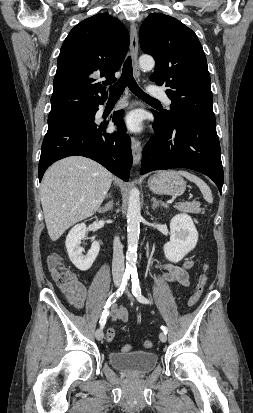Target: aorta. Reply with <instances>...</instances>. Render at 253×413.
Segmentation results:
<instances>
[{
	"label": "aorta",
	"instance_id": "1",
	"mask_svg": "<svg viewBox=\"0 0 253 413\" xmlns=\"http://www.w3.org/2000/svg\"><path fill=\"white\" fill-rule=\"evenodd\" d=\"M139 66L144 71H150L155 66V61L150 55H142L139 58ZM140 192L137 188H132L129 194L127 210V243L126 270L133 272L136 270L137 246L140 234L141 219Z\"/></svg>",
	"mask_w": 253,
	"mask_h": 413
}]
</instances>
